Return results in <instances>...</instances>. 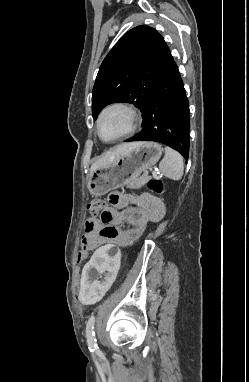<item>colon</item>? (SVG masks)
<instances>
[{"label":"colon","mask_w":249,"mask_h":382,"mask_svg":"<svg viewBox=\"0 0 249 382\" xmlns=\"http://www.w3.org/2000/svg\"><path fill=\"white\" fill-rule=\"evenodd\" d=\"M149 188L156 192V193H162L164 190L163 183L160 180H151L148 183ZM105 207V203L100 198H93L87 205L88 210L92 214H101L103 212V209ZM86 256L85 250H81L78 254V260L82 261ZM78 267L82 266L81 262L77 263Z\"/></svg>","instance_id":"obj_1"}]
</instances>
